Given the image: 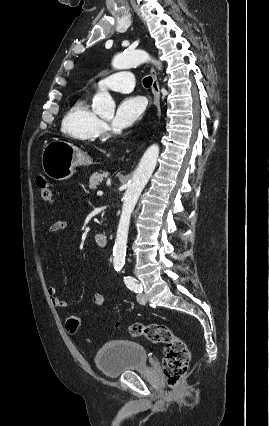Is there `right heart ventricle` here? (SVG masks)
<instances>
[{"label":"right heart ventricle","instance_id":"e07e8e85","mask_svg":"<svg viewBox=\"0 0 269 426\" xmlns=\"http://www.w3.org/2000/svg\"><path fill=\"white\" fill-rule=\"evenodd\" d=\"M100 119L90 109L86 97L78 99L67 111L62 121V129L68 135L94 141L99 136Z\"/></svg>","mask_w":269,"mask_h":426}]
</instances>
